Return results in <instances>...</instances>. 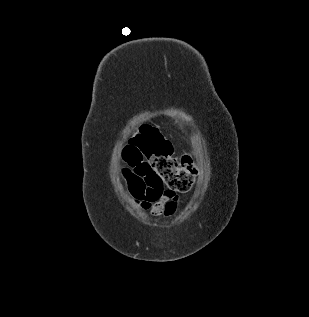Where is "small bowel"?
Instances as JSON below:
<instances>
[{
	"label": "small bowel",
	"instance_id": "small-bowel-1",
	"mask_svg": "<svg viewBox=\"0 0 309 317\" xmlns=\"http://www.w3.org/2000/svg\"><path fill=\"white\" fill-rule=\"evenodd\" d=\"M125 163L121 177L132 199L153 217L173 216L178 207V195L163 189V185L145 160L131 164L125 158Z\"/></svg>",
	"mask_w": 309,
	"mask_h": 317
}]
</instances>
